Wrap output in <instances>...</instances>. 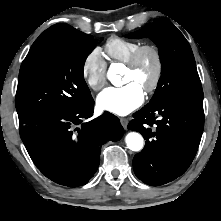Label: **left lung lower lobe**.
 I'll list each match as a JSON object with an SVG mask.
<instances>
[{
    "label": "left lung lower lobe",
    "mask_w": 221,
    "mask_h": 221,
    "mask_svg": "<svg viewBox=\"0 0 221 221\" xmlns=\"http://www.w3.org/2000/svg\"><path fill=\"white\" fill-rule=\"evenodd\" d=\"M128 128L146 142L133 158L136 176L152 186L181 176L192 163L203 133V102L160 98L134 113Z\"/></svg>",
    "instance_id": "left-lung-lower-lobe-1"
}]
</instances>
